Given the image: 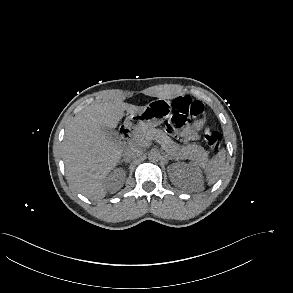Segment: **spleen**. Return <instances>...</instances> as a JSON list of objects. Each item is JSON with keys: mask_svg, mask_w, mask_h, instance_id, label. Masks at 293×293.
Returning <instances> with one entry per match:
<instances>
[{"mask_svg": "<svg viewBox=\"0 0 293 293\" xmlns=\"http://www.w3.org/2000/svg\"><path fill=\"white\" fill-rule=\"evenodd\" d=\"M226 151L221 149L214 155L205 167L206 180L208 185L214 184L225 169Z\"/></svg>", "mask_w": 293, "mask_h": 293, "instance_id": "spleen-1", "label": "spleen"}]
</instances>
